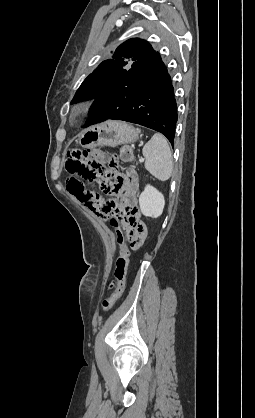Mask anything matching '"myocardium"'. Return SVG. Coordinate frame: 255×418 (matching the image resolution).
I'll use <instances>...</instances> for the list:
<instances>
[{
	"label": "myocardium",
	"instance_id": "myocardium-1",
	"mask_svg": "<svg viewBox=\"0 0 255 418\" xmlns=\"http://www.w3.org/2000/svg\"><path fill=\"white\" fill-rule=\"evenodd\" d=\"M91 113L90 105H84L78 108L75 113V118L79 121L86 119Z\"/></svg>",
	"mask_w": 255,
	"mask_h": 418
}]
</instances>
